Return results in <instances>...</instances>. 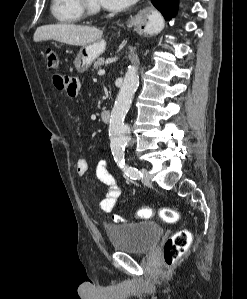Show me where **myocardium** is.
Returning a JSON list of instances; mask_svg holds the SVG:
<instances>
[{
	"label": "myocardium",
	"instance_id": "myocardium-1",
	"mask_svg": "<svg viewBox=\"0 0 247 299\" xmlns=\"http://www.w3.org/2000/svg\"><path fill=\"white\" fill-rule=\"evenodd\" d=\"M83 14L86 16H93L101 11V7L98 3L92 0H79Z\"/></svg>",
	"mask_w": 247,
	"mask_h": 299
}]
</instances>
